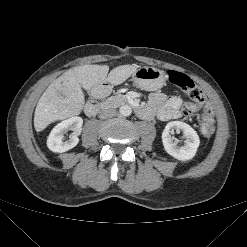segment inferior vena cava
Returning <instances> with one entry per match:
<instances>
[{
	"mask_svg": "<svg viewBox=\"0 0 247 247\" xmlns=\"http://www.w3.org/2000/svg\"><path fill=\"white\" fill-rule=\"evenodd\" d=\"M116 115V110L114 108H104L99 113L100 119L111 118Z\"/></svg>",
	"mask_w": 247,
	"mask_h": 247,
	"instance_id": "1",
	"label": "inferior vena cava"
}]
</instances>
